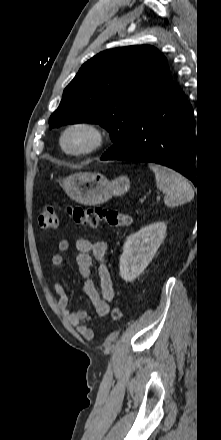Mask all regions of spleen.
Instances as JSON below:
<instances>
[{"instance_id": "3e777b00", "label": "spleen", "mask_w": 221, "mask_h": 440, "mask_svg": "<svg viewBox=\"0 0 221 440\" xmlns=\"http://www.w3.org/2000/svg\"><path fill=\"white\" fill-rule=\"evenodd\" d=\"M149 168L155 174L157 188L165 193V205L175 207L193 199V188L185 177L165 166L149 164Z\"/></svg>"}]
</instances>
